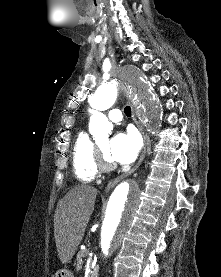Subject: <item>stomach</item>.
Masks as SVG:
<instances>
[{
    "label": "stomach",
    "mask_w": 221,
    "mask_h": 277,
    "mask_svg": "<svg viewBox=\"0 0 221 277\" xmlns=\"http://www.w3.org/2000/svg\"><path fill=\"white\" fill-rule=\"evenodd\" d=\"M53 277H73V273L67 269L57 271Z\"/></svg>",
    "instance_id": "0dacf381"
}]
</instances>
